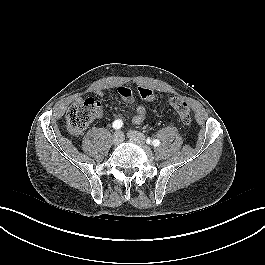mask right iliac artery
Segmentation results:
<instances>
[{
    "label": "right iliac artery",
    "mask_w": 265,
    "mask_h": 265,
    "mask_svg": "<svg viewBox=\"0 0 265 265\" xmlns=\"http://www.w3.org/2000/svg\"><path fill=\"white\" fill-rule=\"evenodd\" d=\"M122 126H123V122H122V120H120V119L115 120V121L112 123V127H113L114 129H120Z\"/></svg>",
    "instance_id": "82829eb1"
}]
</instances>
